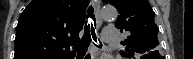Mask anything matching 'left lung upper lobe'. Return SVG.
<instances>
[{"instance_id":"left-lung-upper-lobe-1","label":"left lung upper lobe","mask_w":193,"mask_h":59,"mask_svg":"<svg viewBox=\"0 0 193 59\" xmlns=\"http://www.w3.org/2000/svg\"><path fill=\"white\" fill-rule=\"evenodd\" d=\"M115 6L119 16L115 26L131 34L122 42L126 46L123 56L133 57L148 54L158 49V27L154 22V11L148 0H103ZM158 52V51H157Z\"/></svg>"}]
</instances>
